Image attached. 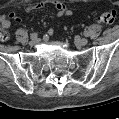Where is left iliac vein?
<instances>
[{
    "label": "left iliac vein",
    "instance_id": "obj_1",
    "mask_svg": "<svg viewBox=\"0 0 119 119\" xmlns=\"http://www.w3.org/2000/svg\"><path fill=\"white\" fill-rule=\"evenodd\" d=\"M76 45L78 46H85L88 44V39L86 38H78L75 40Z\"/></svg>",
    "mask_w": 119,
    "mask_h": 119
}]
</instances>
